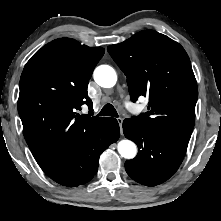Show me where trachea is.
<instances>
[{
  "label": "trachea",
  "instance_id": "trachea-1",
  "mask_svg": "<svg viewBox=\"0 0 221 221\" xmlns=\"http://www.w3.org/2000/svg\"><path fill=\"white\" fill-rule=\"evenodd\" d=\"M99 116H113L118 117L117 111L111 104H106L98 114Z\"/></svg>",
  "mask_w": 221,
  "mask_h": 221
}]
</instances>
